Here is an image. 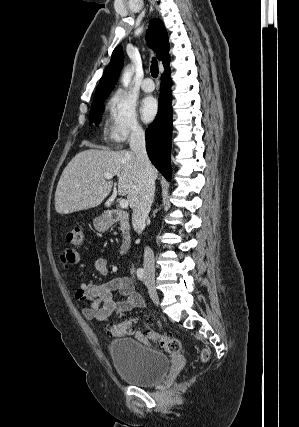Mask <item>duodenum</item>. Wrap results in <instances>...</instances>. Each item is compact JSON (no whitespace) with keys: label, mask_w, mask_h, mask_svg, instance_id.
I'll return each mask as SVG.
<instances>
[{"label":"duodenum","mask_w":299,"mask_h":427,"mask_svg":"<svg viewBox=\"0 0 299 427\" xmlns=\"http://www.w3.org/2000/svg\"><path fill=\"white\" fill-rule=\"evenodd\" d=\"M128 215L124 211L120 210H110L107 212V224L113 225L119 221H125L127 220ZM131 242L130 239L125 237L123 238L120 248H119V254L120 256H125L129 250H130Z\"/></svg>","instance_id":"obj_1"}]
</instances>
